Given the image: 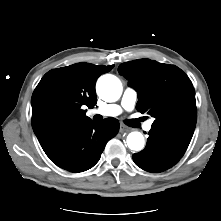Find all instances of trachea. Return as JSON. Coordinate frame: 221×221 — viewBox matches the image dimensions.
<instances>
[{
	"mask_svg": "<svg viewBox=\"0 0 221 221\" xmlns=\"http://www.w3.org/2000/svg\"><path fill=\"white\" fill-rule=\"evenodd\" d=\"M140 121H141V119H137V120H130V121H128V124L133 125V124H137V123H139Z\"/></svg>",
	"mask_w": 221,
	"mask_h": 221,
	"instance_id": "trachea-1",
	"label": "trachea"
}]
</instances>
